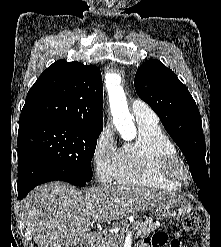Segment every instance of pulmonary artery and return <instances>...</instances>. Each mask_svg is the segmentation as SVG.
Masks as SVG:
<instances>
[{
	"instance_id": "obj_1",
	"label": "pulmonary artery",
	"mask_w": 221,
	"mask_h": 247,
	"mask_svg": "<svg viewBox=\"0 0 221 247\" xmlns=\"http://www.w3.org/2000/svg\"><path fill=\"white\" fill-rule=\"evenodd\" d=\"M132 113L137 123H158V116L153 112L146 103L141 100L134 99L132 101Z\"/></svg>"
}]
</instances>
